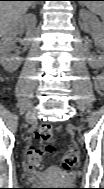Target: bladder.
Wrapping results in <instances>:
<instances>
[{
	"label": "bladder",
	"mask_w": 104,
	"mask_h": 189,
	"mask_svg": "<svg viewBox=\"0 0 104 189\" xmlns=\"http://www.w3.org/2000/svg\"><path fill=\"white\" fill-rule=\"evenodd\" d=\"M55 174H56V169H55V168L51 169L50 171H48V172L46 173L47 176H53V175H55Z\"/></svg>",
	"instance_id": "31cf9c89"
}]
</instances>
